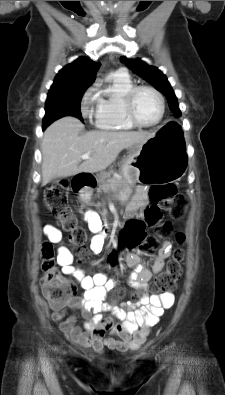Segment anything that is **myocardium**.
<instances>
[{
    "label": "myocardium",
    "mask_w": 225,
    "mask_h": 395,
    "mask_svg": "<svg viewBox=\"0 0 225 395\" xmlns=\"http://www.w3.org/2000/svg\"><path fill=\"white\" fill-rule=\"evenodd\" d=\"M143 90L153 93L157 97V99L159 101V105H160L159 118L157 119L156 122L151 123V124L142 123L137 118V116L135 114V110H134V103H135L136 96L139 92H141ZM123 109H124V113H125L127 120L130 123H132L134 126L141 127V128H153V127H156L157 125H159L164 118L165 100H164V97L162 96V94L156 88L149 86V85H137V86H133L126 93V95L124 97V101H123Z\"/></svg>",
    "instance_id": "f54148a6"
}]
</instances>
